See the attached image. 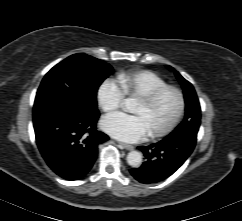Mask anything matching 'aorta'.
Segmentation results:
<instances>
[{
	"mask_svg": "<svg viewBox=\"0 0 242 221\" xmlns=\"http://www.w3.org/2000/svg\"><path fill=\"white\" fill-rule=\"evenodd\" d=\"M125 106L130 109L132 106V99H126ZM127 163L134 168L140 167L142 164V154L138 151H131L127 155Z\"/></svg>",
	"mask_w": 242,
	"mask_h": 221,
	"instance_id": "aorta-1",
	"label": "aorta"
}]
</instances>
